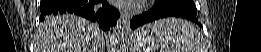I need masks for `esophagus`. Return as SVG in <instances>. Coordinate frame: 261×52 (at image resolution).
<instances>
[{"label": "esophagus", "instance_id": "1", "mask_svg": "<svg viewBox=\"0 0 261 52\" xmlns=\"http://www.w3.org/2000/svg\"><path fill=\"white\" fill-rule=\"evenodd\" d=\"M130 20V15L126 11H122L120 15V23L127 26Z\"/></svg>", "mask_w": 261, "mask_h": 52}]
</instances>
